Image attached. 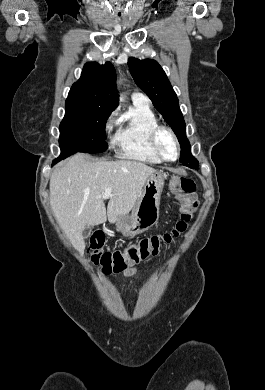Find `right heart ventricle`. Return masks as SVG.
<instances>
[{
    "label": "right heart ventricle",
    "mask_w": 265,
    "mask_h": 390,
    "mask_svg": "<svg viewBox=\"0 0 265 390\" xmlns=\"http://www.w3.org/2000/svg\"><path fill=\"white\" fill-rule=\"evenodd\" d=\"M158 119L148 103L133 102L119 118L112 144L124 159L149 164H160V158L149 144V132Z\"/></svg>",
    "instance_id": "obj_1"
}]
</instances>
